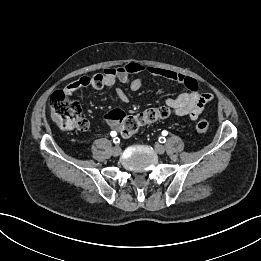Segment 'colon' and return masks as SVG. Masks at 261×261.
<instances>
[{
  "label": "colon",
  "mask_w": 261,
  "mask_h": 261,
  "mask_svg": "<svg viewBox=\"0 0 261 261\" xmlns=\"http://www.w3.org/2000/svg\"><path fill=\"white\" fill-rule=\"evenodd\" d=\"M83 85L84 83L78 80L63 90L55 91L50 98L51 117L64 130L85 131L89 128V122L82 116L78 102L71 99V94L81 89ZM169 115L170 109L167 106H160L148 108L136 115H125L123 112L113 110L107 116L118 123L123 137H131L141 127L165 119ZM195 128L199 133H205L209 124L201 119L197 121Z\"/></svg>",
  "instance_id": "colon-1"
}]
</instances>
